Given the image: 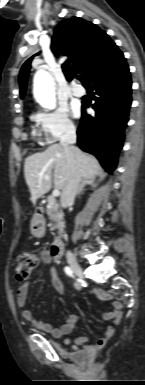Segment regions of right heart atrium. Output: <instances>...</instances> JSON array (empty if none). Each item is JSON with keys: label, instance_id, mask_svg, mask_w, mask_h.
<instances>
[{"label": "right heart atrium", "instance_id": "right-heart-atrium-1", "mask_svg": "<svg viewBox=\"0 0 145 385\" xmlns=\"http://www.w3.org/2000/svg\"><path fill=\"white\" fill-rule=\"evenodd\" d=\"M35 121L41 130L42 139L46 143L57 142L76 130L66 105H59L52 110L38 111Z\"/></svg>", "mask_w": 145, "mask_h": 385}]
</instances>
